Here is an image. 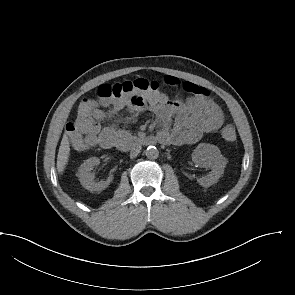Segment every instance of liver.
<instances>
[{
    "label": "liver",
    "instance_id": "6515ba94",
    "mask_svg": "<svg viewBox=\"0 0 295 295\" xmlns=\"http://www.w3.org/2000/svg\"><path fill=\"white\" fill-rule=\"evenodd\" d=\"M70 155V145L67 136L62 138L57 156V170L60 174L65 170Z\"/></svg>",
    "mask_w": 295,
    "mask_h": 295
}]
</instances>
